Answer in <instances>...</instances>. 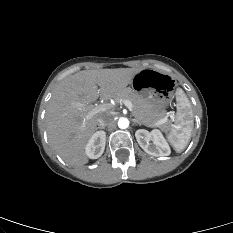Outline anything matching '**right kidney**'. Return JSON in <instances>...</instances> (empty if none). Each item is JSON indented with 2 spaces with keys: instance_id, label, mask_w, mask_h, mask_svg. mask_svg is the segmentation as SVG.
Here are the masks:
<instances>
[{
  "instance_id": "right-kidney-1",
  "label": "right kidney",
  "mask_w": 233,
  "mask_h": 233,
  "mask_svg": "<svg viewBox=\"0 0 233 233\" xmlns=\"http://www.w3.org/2000/svg\"><path fill=\"white\" fill-rule=\"evenodd\" d=\"M106 134L103 131H97L92 135L85 147V153L90 159L99 158L105 149Z\"/></svg>"
}]
</instances>
